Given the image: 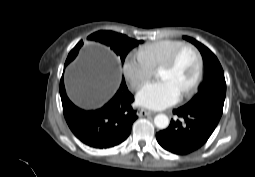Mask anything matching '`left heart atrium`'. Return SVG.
Here are the masks:
<instances>
[{"mask_svg": "<svg viewBox=\"0 0 255 177\" xmlns=\"http://www.w3.org/2000/svg\"><path fill=\"white\" fill-rule=\"evenodd\" d=\"M181 93L167 79L150 81L137 93V102L143 107L160 110L175 104Z\"/></svg>", "mask_w": 255, "mask_h": 177, "instance_id": "39dd6f15", "label": "left heart atrium"}]
</instances>
